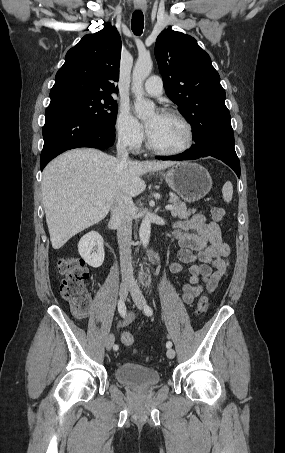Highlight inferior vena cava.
Instances as JSON below:
<instances>
[{
  "mask_svg": "<svg viewBox=\"0 0 285 453\" xmlns=\"http://www.w3.org/2000/svg\"><path fill=\"white\" fill-rule=\"evenodd\" d=\"M116 147L118 158H120L122 164H126L129 157L125 142L118 140ZM134 213L135 206L131 196L117 194L111 206L110 222L117 229L122 281L130 284L135 282L131 262L132 219Z\"/></svg>",
  "mask_w": 285,
  "mask_h": 453,
  "instance_id": "obj_1",
  "label": "inferior vena cava"
}]
</instances>
